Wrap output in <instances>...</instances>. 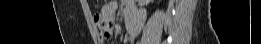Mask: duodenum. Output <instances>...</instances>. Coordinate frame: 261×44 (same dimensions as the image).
Instances as JSON below:
<instances>
[{
	"label": "duodenum",
	"mask_w": 261,
	"mask_h": 44,
	"mask_svg": "<svg viewBox=\"0 0 261 44\" xmlns=\"http://www.w3.org/2000/svg\"><path fill=\"white\" fill-rule=\"evenodd\" d=\"M125 22H126L127 30L129 31L132 25V20L127 18L125 19Z\"/></svg>",
	"instance_id": "duodenum-1"
}]
</instances>
